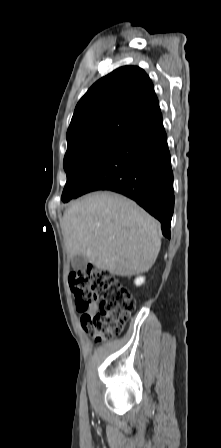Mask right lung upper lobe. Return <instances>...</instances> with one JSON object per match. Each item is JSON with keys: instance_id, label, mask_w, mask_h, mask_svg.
Instances as JSON below:
<instances>
[{"instance_id": "1", "label": "right lung upper lobe", "mask_w": 221, "mask_h": 448, "mask_svg": "<svg viewBox=\"0 0 221 448\" xmlns=\"http://www.w3.org/2000/svg\"><path fill=\"white\" fill-rule=\"evenodd\" d=\"M160 112L145 71L120 67L94 83L78 102L67 131V151L92 142L118 141Z\"/></svg>"}]
</instances>
